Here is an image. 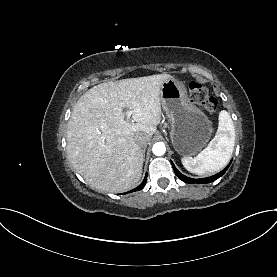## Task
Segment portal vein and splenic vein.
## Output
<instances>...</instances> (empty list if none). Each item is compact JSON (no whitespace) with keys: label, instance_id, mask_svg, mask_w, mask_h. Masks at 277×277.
Returning a JSON list of instances; mask_svg holds the SVG:
<instances>
[{"label":"portal vein and splenic vein","instance_id":"portal-vein-and-splenic-vein-1","mask_svg":"<svg viewBox=\"0 0 277 277\" xmlns=\"http://www.w3.org/2000/svg\"><path fill=\"white\" fill-rule=\"evenodd\" d=\"M131 115H132V112H131V111H127V112H126V117H127L128 119L131 117Z\"/></svg>","mask_w":277,"mask_h":277}]
</instances>
